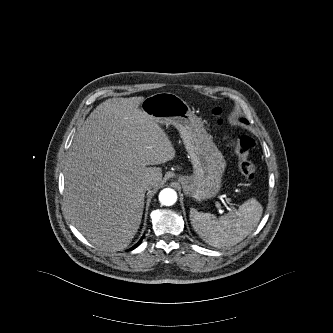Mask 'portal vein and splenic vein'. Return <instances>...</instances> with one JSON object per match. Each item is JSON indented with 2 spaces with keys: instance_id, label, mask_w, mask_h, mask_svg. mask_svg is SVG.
I'll list each match as a JSON object with an SVG mask.
<instances>
[{
  "instance_id": "18ae733b",
  "label": "portal vein and splenic vein",
  "mask_w": 333,
  "mask_h": 333,
  "mask_svg": "<svg viewBox=\"0 0 333 333\" xmlns=\"http://www.w3.org/2000/svg\"><path fill=\"white\" fill-rule=\"evenodd\" d=\"M227 203L229 204V202H227ZM220 206H221V205H220L219 203L216 204V207H217V208H220Z\"/></svg>"
}]
</instances>
